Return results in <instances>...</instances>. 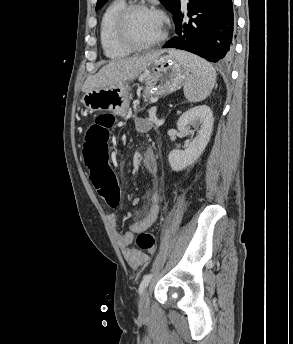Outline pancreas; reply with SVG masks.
<instances>
[{
    "mask_svg": "<svg viewBox=\"0 0 293 344\" xmlns=\"http://www.w3.org/2000/svg\"><path fill=\"white\" fill-rule=\"evenodd\" d=\"M146 125L148 129H151L152 127H155L154 121L152 119L146 120Z\"/></svg>",
    "mask_w": 293,
    "mask_h": 344,
    "instance_id": "cf45deb5",
    "label": "pancreas"
}]
</instances>
